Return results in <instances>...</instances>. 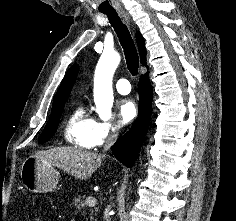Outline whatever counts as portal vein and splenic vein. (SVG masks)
<instances>
[{"label":"portal vein and splenic vein","instance_id":"18ae733b","mask_svg":"<svg viewBox=\"0 0 236 221\" xmlns=\"http://www.w3.org/2000/svg\"><path fill=\"white\" fill-rule=\"evenodd\" d=\"M96 198L95 197H88L86 200H85V205H88L90 207H94L96 205Z\"/></svg>","mask_w":236,"mask_h":221}]
</instances>
